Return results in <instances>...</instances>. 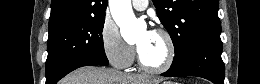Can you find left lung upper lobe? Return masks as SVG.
<instances>
[{"instance_id":"5c2ea615","label":"left lung upper lobe","mask_w":260,"mask_h":84,"mask_svg":"<svg viewBox=\"0 0 260 84\" xmlns=\"http://www.w3.org/2000/svg\"><path fill=\"white\" fill-rule=\"evenodd\" d=\"M175 47L172 65L198 43L220 39L218 0H152Z\"/></svg>"}]
</instances>
